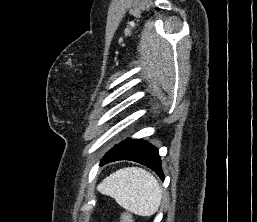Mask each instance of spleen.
I'll return each mask as SVG.
<instances>
[{"label": "spleen", "instance_id": "3e777b00", "mask_svg": "<svg viewBox=\"0 0 257 222\" xmlns=\"http://www.w3.org/2000/svg\"><path fill=\"white\" fill-rule=\"evenodd\" d=\"M97 190L115 201L127 211L139 216H151L160 207L162 189L156 178L139 167L117 170L106 177Z\"/></svg>", "mask_w": 257, "mask_h": 222}]
</instances>
